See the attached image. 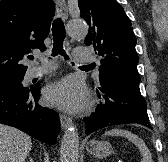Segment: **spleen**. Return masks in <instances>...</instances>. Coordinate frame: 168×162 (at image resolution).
Instances as JSON below:
<instances>
[{"label": "spleen", "instance_id": "1", "mask_svg": "<svg viewBox=\"0 0 168 162\" xmlns=\"http://www.w3.org/2000/svg\"><path fill=\"white\" fill-rule=\"evenodd\" d=\"M105 136H122L127 138L130 142L134 143L136 147H138L140 154L142 155L141 162H153L151 153L144 141L130 131L122 129H112L105 132Z\"/></svg>", "mask_w": 168, "mask_h": 162}]
</instances>
